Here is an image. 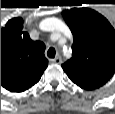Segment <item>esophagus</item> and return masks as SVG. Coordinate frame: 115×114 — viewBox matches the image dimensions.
<instances>
[{"mask_svg": "<svg viewBox=\"0 0 115 114\" xmlns=\"http://www.w3.org/2000/svg\"><path fill=\"white\" fill-rule=\"evenodd\" d=\"M51 62L54 63V64H61L62 63V59H61L60 56H57L54 59H52Z\"/></svg>", "mask_w": 115, "mask_h": 114, "instance_id": "34e87169", "label": "esophagus"}]
</instances>
